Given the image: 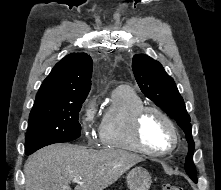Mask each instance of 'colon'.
Returning <instances> with one entry per match:
<instances>
[{
	"mask_svg": "<svg viewBox=\"0 0 221 190\" xmlns=\"http://www.w3.org/2000/svg\"><path fill=\"white\" fill-rule=\"evenodd\" d=\"M161 190H183L180 186L172 184H164Z\"/></svg>",
	"mask_w": 221,
	"mask_h": 190,
	"instance_id": "1",
	"label": "colon"
}]
</instances>
